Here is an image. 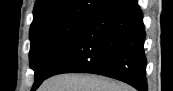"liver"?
<instances>
[{
  "label": "liver",
  "mask_w": 173,
  "mask_h": 91,
  "mask_svg": "<svg viewBox=\"0 0 173 91\" xmlns=\"http://www.w3.org/2000/svg\"><path fill=\"white\" fill-rule=\"evenodd\" d=\"M38 91H134L122 82L94 74H60L46 79Z\"/></svg>",
  "instance_id": "liver-1"
}]
</instances>
